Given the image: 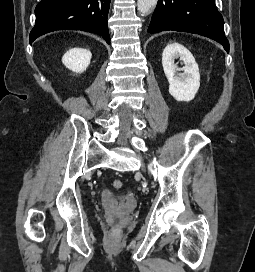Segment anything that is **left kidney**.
<instances>
[{"label": "left kidney", "instance_id": "5707ae66", "mask_svg": "<svg viewBox=\"0 0 255 272\" xmlns=\"http://www.w3.org/2000/svg\"><path fill=\"white\" fill-rule=\"evenodd\" d=\"M178 57L184 63L182 68L174 63ZM162 66L169 82L170 95L177 101L193 100L200 87V73L190 51L179 43L168 44L163 50Z\"/></svg>", "mask_w": 255, "mask_h": 272}]
</instances>
